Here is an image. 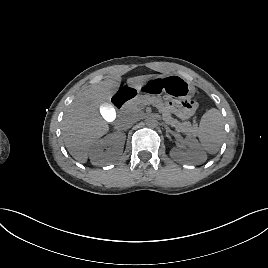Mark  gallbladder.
I'll use <instances>...</instances> for the list:
<instances>
[{"instance_id": "obj_1", "label": "gallbladder", "mask_w": 268, "mask_h": 268, "mask_svg": "<svg viewBox=\"0 0 268 268\" xmlns=\"http://www.w3.org/2000/svg\"><path fill=\"white\" fill-rule=\"evenodd\" d=\"M98 112L103 116L104 120L111 122L115 120L117 113L109 102H101L98 105Z\"/></svg>"}]
</instances>
